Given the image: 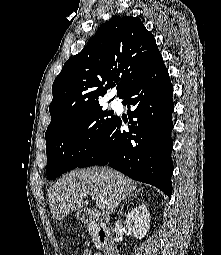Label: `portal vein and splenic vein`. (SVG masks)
Returning a JSON list of instances; mask_svg holds the SVG:
<instances>
[{
  "label": "portal vein and splenic vein",
  "mask_w": 221,
  "mask_h": 255,
  "mask_svg": "<svg viewBox=\"0 0 221 255\" xmlns=\"http://www.w3.org/2000/svg\"><path fill=\"white\" fill-rule=\"evenodd\" d=\"M93 199L96 200L98 208H103L102 201H100L97 197L93 196Z\"/></svg>",
  "instance_id": "1"
}]
</instances>
